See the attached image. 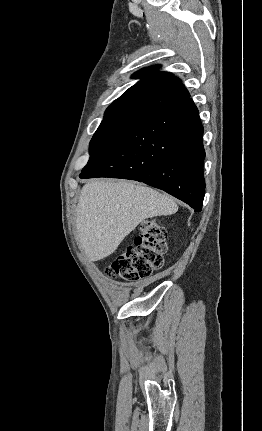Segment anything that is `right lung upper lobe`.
<instances>
[{"instance_id":"1","label":"right lung upper lobe","mask_w":262,"mask_h":431,"mask_svg":"<svg viewBox=\"0 0 262 431\" xmlns=\"http://www.w3.org/2000/svg\"><path fill=\"white\" fill-rule=\"evenodd\" d=\"M159 66L136 72L133 78H141L105 111L100 125H134L152 115L174 107L190 99L181 81L168 72H159Z\"/></svg>"}]
</instances>
